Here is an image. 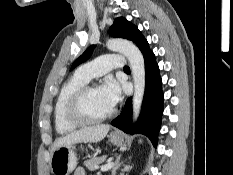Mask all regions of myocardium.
I'll list each match as a JSON object with an SVG mask.
<instances>
[{
  "mask_svg": "<svg viewBox=\"0 0 233 175\" xmlns=\"http://www.w3.org/2000/svg\"><path fill=\"white\" fill-rule=\"evenodd\" d=\"M95 86L84 85L75 91L69 98L66 106V113L68 118L77 124H96L105 121L106 119L112 117L115 113V109H111L108 113L102 116H91L85 109V101L89 91Z\"/></svg>",
  "mask_w": 233,
  "mask_h": 175,
  "instance_id": "obj_1",
  "label": "myocardium"
}]
</instances>
